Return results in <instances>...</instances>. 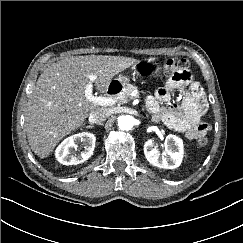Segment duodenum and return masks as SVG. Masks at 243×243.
I'll return each mask as SVG.
<instances>
[{"instance_id": "obj_1", "label": "duodenum", "mask_w": 243, "mask_h": 243, "mask_svg": "<svg viewBox=\"0 0 243 243\" xmlns=\"http://www.w3.org/2000/svg\"><path fill=\"white\" fill-rule=\"evenodd\" d=\"M120 90H121L120 84H118L117 82H113L108 86L107 94L111 96H115L120 92Z\"/></svg>"}]
</instances>
